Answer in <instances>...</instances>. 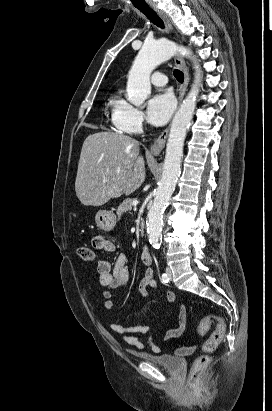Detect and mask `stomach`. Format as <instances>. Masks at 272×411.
<instances>
[{
	"label": "stomach",
	"instance_id": "obj_1",
	"mask_svg": "<svg viewBox=\"0 0 272 411\" xmlns=\"http://www.w3.org/2000/svg\"><path fill=\"white\" fill-rule=\"evenodd\" d=\"M95 222L101 230L111 231L116 225L117 218L112 211L100 210L95 215Z\"/></svg>",
	"mask_w": 272,
	"mask_h": 411
}]
</instances>
